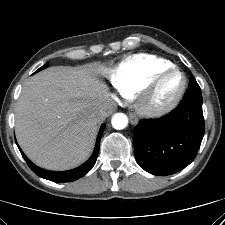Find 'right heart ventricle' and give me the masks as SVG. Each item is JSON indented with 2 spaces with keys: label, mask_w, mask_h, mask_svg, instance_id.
Masks as SVG:
<instances>
[{
  "label": "right heart ventricle",
  "mask_w": 225,
  "mask_h": 225,
  "mask_svg": "<svg viewBox=\"0 0 225 225\" xmlns=\"http://www.w3.org/2000/svg\"><path fill=\"white\" fill-rule=\"evenodd\" d=\"M174 67L164 58L152 54H136L122 63L112 72V86L127 99L135 97L140 90L157 74Z\"/></svg>",
  "instance_id": "right-heart-ventricle-1"
}]
</instances>
